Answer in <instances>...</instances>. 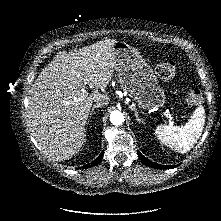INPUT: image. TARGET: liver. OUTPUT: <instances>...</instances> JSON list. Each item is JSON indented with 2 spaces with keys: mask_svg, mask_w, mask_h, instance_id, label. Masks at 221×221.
I'll return each mask as SVG.
<instances>
[{
  "mask_svg": "<svg viewBox=\"0 0 221 221\" xmlns=\"http://www.w3.org/2000/svg\"><path fill=\"white\" fill-rule=\"evenodd\" d=\"M116 42L106 39L68 53L60 51L32 85L28 103L31 132L53 160L70 159L81 149L86 121L99 92L83 96L79 88L83 83L107 87L115 68L112 47Z\"/></svg>",
  "mask_w": 221,
  "mask_h": 221,
  "instance_id": "liver-1",
  "label": "liver"
}]
</instances>
